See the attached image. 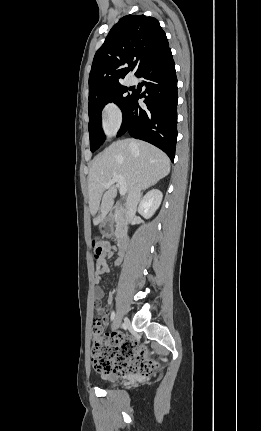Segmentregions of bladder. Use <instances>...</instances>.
Wrapping results in <instances>:
<instances>
[{
    "label": "bladder",
    "instance_id": "31cf9c89",
    "mask_svg": "<svg viewBox=\"0 0 261 431\" xmlns=\"http://www.w3.org/2000/svg\"><path fill=\"white\" fill-rule=\"evenodd\" d=\"M103 380L106 387H113L116 385V379L114 377H105Z\"/></svg>",
    "mask_w": 261,
    "mask_h": 431
}]
</instances>
